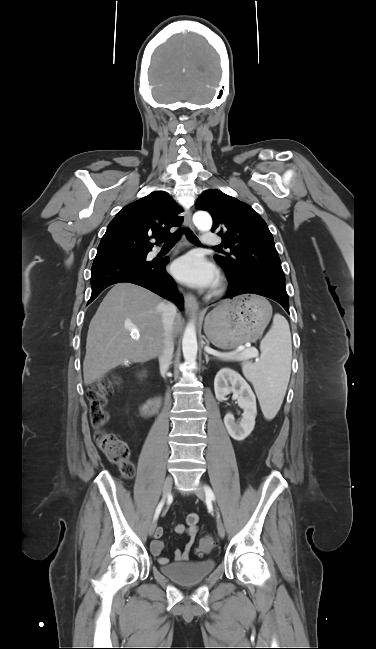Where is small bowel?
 <instances>
[{
    "instance_id": "c3829d8e",
    "label": "small bowel",
    "mask_w": 376,
    "mask_h": 649,
    "mask_svg": "<svg viewBox=\"0 0 376 649\" xmlns=\"http://www.w3.org/2000/svg\"><path fill=\"white\" fill-rule=\"evenodd\" d=\"M192 517H197V520L192 522L191 518ZM198 515L195 513H190L187 515L185 519L184 524H176L174 526V531L179 534V535H186L188 537V540L185 544V548L183 550L176 549L173 552V557L175 561H187L189 560L190 557V551L194 545L196 535L198 533L199 527H198ZM164 534V530L162 527L156 528V531L154 533V539L150 544V549L151 552L159 556L163 550L164 543L162 541V537ZM158 562L160 564H167L169 562V559L166 557H158Z\"/></svg>"
}]
</instances>
